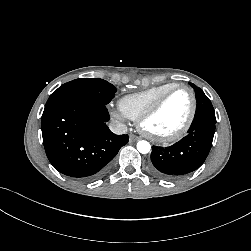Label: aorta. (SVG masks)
I'll return each instance as SVG.
<instances>
[{
    "label": "aorta",
    "instance_id": "aorta-1",
    "mask_svg": "<svg viewBox=\"0 0 251 251\" xmlns=\"http://www.w3.org/2000/svg\"><path fill=\"white\" fill-rule=\"evenodd\" d=\"M151 146L149 144V142L145 141V140H141L137 143V150L142 153V154H146L150 151Z\"/></svg>",
    "mask_w": 251,
    "mask_h": 251
}]
</instances>
